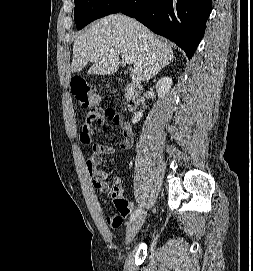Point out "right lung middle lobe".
<instances>
[{"mask_svg":"<svg viewBox=\"0 0 253 271\" xmlns=\"http://www.w3.org/2000/svg\"><path fill=\"white\" fill-rule=\"evenodd\" d=\"M74 19L77 29H82L90 22L117 13L127 0H74Z\"/></svg>","mask_w":253,"mask_h":271,"instance_id":"right-lung-middle-lobe-1","label":"right lung middle lobe"}]
</instances>
